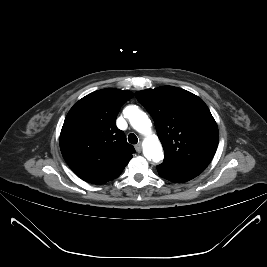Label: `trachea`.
Segmentation results:
<instances>
[{"instance_id": "3493384b", "label": "trachea", "mask_w": 267, "mask_h": 267, "mask_svg": "<svg viewBox=\"0 0 267 267\" xmlns=\"http://www.w3.org/2000/svg\"><path fill=\"white\" fill-rule=\"evenodd\" d=\"M128 141H129V143H131V144H137V142H138V138L136 137L135 134L130 133L129 136H128Z\"/></svg>"}]
</instances>
